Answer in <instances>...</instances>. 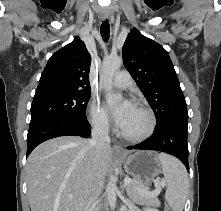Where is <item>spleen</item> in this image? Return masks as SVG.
<instances>
[{"instance_id": "obj_1", "label": "spleen", "mask_w": 221, "mask_h": 211, "mask_svg": "<svg viewBox=\"0 0 221 211\" xmlns=\"http://www.w3.org/2000/svg\"><path fill=\"white\" fill-rule=\"evenodd\" d=\"M161 163L167 190L165 198L173 211H182L188 194V174L183 164L168 154L160 153Z\"/></svg>"}]
</instances>
